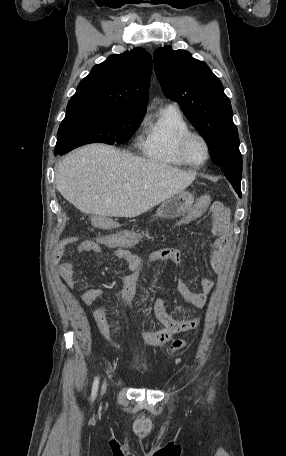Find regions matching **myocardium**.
I'll list each match as a JSON object with an SVG mask.
<instances>
[{"label":"myocardium","instance_id":"f54148a6","mask_svg":"<svg viewBox=\"0 0 286 456\" xmlns=\"http://www.w3.org/2000/svg\"><path fill=\"white\" fill-rule=\"evenodd\" d=\"M193 137L199 138L203 142V144L205 146V149H206V158L200 164L192 163L190 161V159L188 158V155H187V152H186L187 144H188L189 140L191 138H193ZM177 151H178V154L180 155V157L186 163V165H188V166H190L192 168H201V167L205 166L207 164V162L209 161L210 156H211L210 144H209L208 140L206 139V137L204 135H202L201 133H199V132L191 131V130L185 132L184 134H182L179 137V139L177 141Z\"/></svg>","mask_w":286,"mask_h":456}]
</instances>
